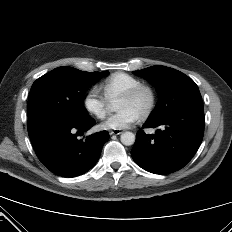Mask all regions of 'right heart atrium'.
<instances>
[{
  "mask_svg": "<svg viewBox=\"0 0 232 232\" xmlns=\"http://www.w3.org/2000/svg\"><path fill=\"white\" fill-rule=\"evenodd\" d=\"M85 110L97 119H103L108 111V100L97 89H89L83 97Z\"/></svg>",
  "mask_w": 232,
  "mask_h": 232,
  "instance_id": "obj_1",
  "label": "right heart atrium"
}]
</instances>
